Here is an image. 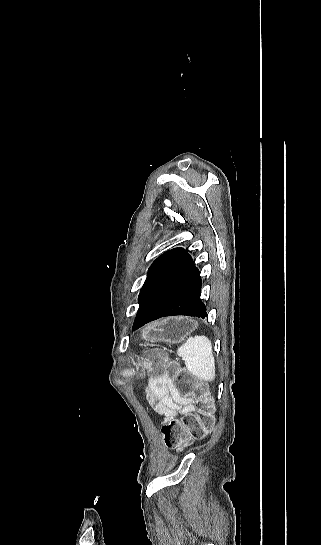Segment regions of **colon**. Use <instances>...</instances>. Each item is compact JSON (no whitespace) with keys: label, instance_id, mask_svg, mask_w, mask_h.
I'll return each mask as SVG.
<instances>
[{"label":"colon","instance_id":"5ec220e1","mask_svg":"<svg viewBox=\"0 0 321 545\" xmlns=\"http://www.w3.org/2000/svg\"><path fill=\"white\" fill-rule=\"evenodd\" d=\"M143 370L151 378L168 377L175 392L195 400V411L182 419H170L161 427L164 443L168 448L181 451L193 442L205 438L214 423V400L207 386L190 376L174 361H167L159 353L149 354L143 361Z\"/></svg>","mask_w":321,"mask_h":545}]
</instances>
